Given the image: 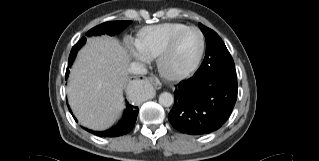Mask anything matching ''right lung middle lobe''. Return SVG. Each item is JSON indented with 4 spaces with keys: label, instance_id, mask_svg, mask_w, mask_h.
I'll return each instance as SVG.
<instances>
[{
    "label": "right lung middle lobe",
    "instance_id": "1",
    "mask_svg": "<svg viewBox=\"0 0 319 161\" xmlns=\"http://www.w3.org/2000/svg\"><path fill=\"white\" fill-rule=\"evenodd\" d=\"M132 21H110V22H106L103 24H100L94 28H92L91 30H89L87 32L88 36L91 35H101V34H108V35H116L118 33H120L122 30H124ZM86 39L83 37L80 41L77 42V44H75L72 47L71 53L69 55V59H68V63H69V67L72 65L75 56L77 54V51L81 48V46H83V44L85 43ZM69 73V70L66 71V74Z\"/></svg>",
    "mask_w": 319,
    "mask_h": 161
}]
</instances>
